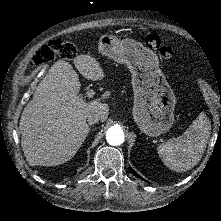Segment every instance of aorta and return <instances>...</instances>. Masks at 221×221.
Segmentation results:
<instances>
[{
	"label": "aorta",
	"mask_w": 221,
	"mask_h": 221,
	"mask_svg": "<svg viewBox=\"0 0 221 221\" xmlns=\"http://www.w3.org/2000/svg\"><path fill=\"white\" fill-rule=\"evenodd\" d=\"M106 140L112 146L121 145L125 140V135L121 127L112 126L106 132Z\"/></svg>",
	"instance_id": "aorta-1"
}]
</instances>
